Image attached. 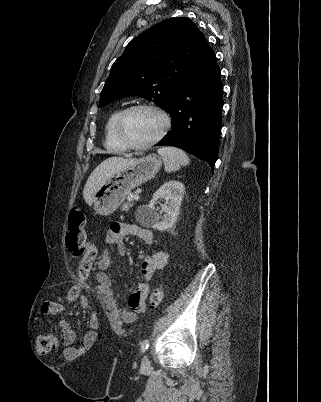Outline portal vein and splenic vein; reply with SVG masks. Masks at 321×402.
<instances>
[{"instance_id":"18ae733b","label":"portal vein and splenic vein","mask_w":321,"mask_h":402,"mask_svg":"<svg viewBox=\"0 0 321 402\" xmlns=\"http://www.w3.org/2000/svg\"><path fill=\"white\" fill-rule=\"evenodd\" d=\"M133 198H134L135 200H138V199H139V194L136 193V194L133 196Z\"/></svg>"}]
</instances>
